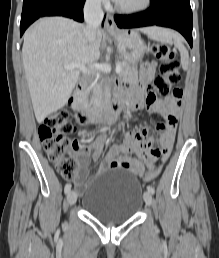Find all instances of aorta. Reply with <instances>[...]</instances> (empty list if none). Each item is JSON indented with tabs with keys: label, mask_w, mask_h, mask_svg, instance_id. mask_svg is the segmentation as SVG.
<instances>
[{
	"label": "aorta",
	"mask_w": 219,
	"mask_h": 258,
	"mask_svg": "<svg viewBox=\"0 0 219 258\" xmlns=\"http://www.w3.org/2000/svg\"><path fill=\"white\" fill-rule=\"evenodd\" d=\"M104 98H105V104L107 108L110 105V99H111L110 87L108 85H105Z\"/></svg>",
	"instance_id": "1"
}]
</instances>
